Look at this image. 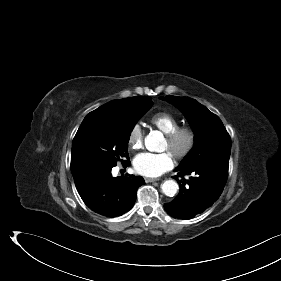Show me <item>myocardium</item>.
<instances>
[{"label": "myocardium", "mask_w": 281, "mask_h": 281, "mask_svg": "<svg viewBox=\"0 0 281 281\" xmlns=\"http://www.w3.org/2000/svg\"><path fill=\"white\" fill-rule=\"evenodd\" d=\"M169 150L177 159L189 156L196 145V134L188 126H179L166 134Z\"/></svg>", "instance_id": "myocardium-1"}]
</instances>
